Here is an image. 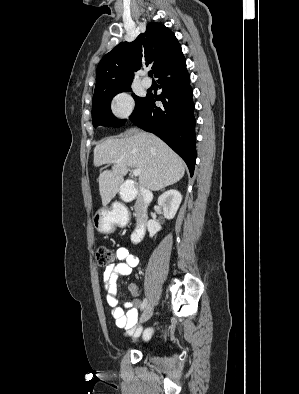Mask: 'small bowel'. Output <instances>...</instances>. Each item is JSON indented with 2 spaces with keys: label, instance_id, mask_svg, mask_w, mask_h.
Segmentation results:
<instances>
[{
  "label": "small bowel",
  "instance_id": "obj_1",
  "mask_svg": "<svg viewBox=\"0 0 299 394\" xmlns=\"http://www.w3.org/2000/svg\"><path fill=\"white\" fill-rule=\"evenodd\" d=\"M116 258L118 262L107 266L102 275L106 301L111 307V315L115 320L116 326L125 330L128 335L138 337L142 332L141 327L136 326L139 308L141 306V302L137 298L140 292L139 287L136 283L129 284L128 291L133 296V299L126 302L124 307H121L118 306L117 280L121 276L129 275L132 269L138 266L139 258L127 246L117 247ZM125 309L127 310L126 312ZM152 333L153 330L147 329L143 334L144 339H149Z\"/></svg>",
  "mask_w": 299,
  "mask_h": 394
}]
</instances>
